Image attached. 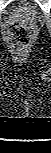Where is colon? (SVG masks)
Instances as JSON below:
<instances>
[{
  "label": "colon",
  "mask_w": 51,
  "mask_h": 153,
  "mask_svg": "<svg viewBox=\"0 0 51 153\" xmlns=\"http://www.w3.org/2000/svg\"><path fill=\"white\" fill-rule=\"evenodd\" d=\"M6 35L12 48L15 50H23L32 42V35L28 28L18 22L8 26Z\"/></svg>",
  "instance_id": "colon-1"
}]
</instances>
